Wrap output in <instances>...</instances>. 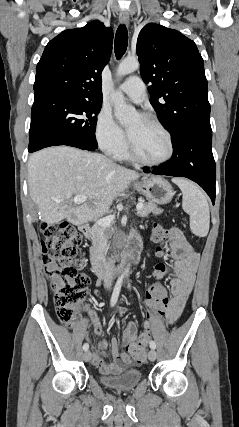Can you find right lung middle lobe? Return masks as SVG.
I'll use <instances>...</instances> for the list:
<instances>
[{
  "mask_svg": "<svg viewBox=\"0 0 239 427\" xmlns=\"http://www.w3.org/2000/svg\"><path fill=\"white\" fill-rule=\"evenodd\" d=\"M101 103L68 97L34 99L29 150L53 145L94 149L97 146L96 119Z\"/></svg>",
  "mask_w": 239,
  "mask_h": 427,
  "instance_id": "right-lung-middle-lobe-1",
  "label": "right lung middle lobe"
}]
</instances>
